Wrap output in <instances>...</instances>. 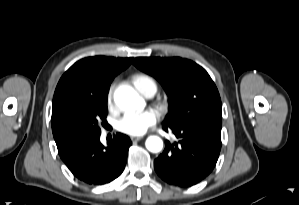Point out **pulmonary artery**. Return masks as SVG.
Instances as JSON below:
<instances>
[{
    "label": "pulmonary artery",
    "instance_id": "obj_1",
    "mask_svg": "<svg viewBox=\"0 0 299 205\" xmlns=\"http://www.w3.org/2000/svg\"><path fill=\"white\" fill-rule=\"evenodd\" d=\"M155 90L154 89H149L148 91H147V93H146V97H152L154 94H155Z\"/></svg>",
    "mask_w": 299,
    "mask_h": 205
}]
</instances>
